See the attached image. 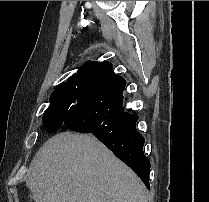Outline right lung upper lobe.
Wrapping results in <instances>:
<instances>
[{"instance_id": "1", "label": "right lung upper lobe", "mask_w": 209, "mask_h": 202, "mask_svg": "<svg viewBox=\"0 0 209 202\" xmlns=\"http://www.w3.org/2000/svg\"><path fill=\"white\" fill-rule=\"evenodd\" d=\"M111 71H113L112 64L107 61H103V62L88 61L79 68L77 73H74L69 78H72L77 75L87 74V75H90L92 79H94V78H99L101 76H104Z\"/></svg>"}]
</instances>
